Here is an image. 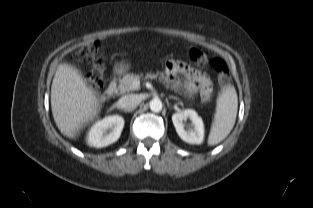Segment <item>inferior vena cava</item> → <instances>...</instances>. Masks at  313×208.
Masks as SVG:
<instances>
[{
	"label": "inferior vena cava",
	"mask_w": 313,
	"mask_h": 208,
	"mask_svg": "<svg viewBox=\"0 0 313 208\" xmlns=\"http://www.w3.org/2000/svg\"><path fill=\"white\" fill-rule=\"evenodd\" d=\"M140 103V99L135 94H129L121 97L118 101V105L120 108L129 111L136 108Z\"/></svg>",
	"instance_id": "602c4592"
}]
</instances>
